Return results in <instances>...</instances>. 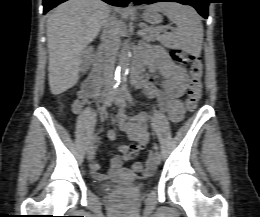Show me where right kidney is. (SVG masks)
I'll return each instance as SVG.
<instances>
[{
    "label": "right kidney",
    "instance_id": "obj_1",
    "mask_svg": "<svg viewBox=\"0 0 260 217\" xmlns=\"http://www.w3.org/2000/svg\"><path fill=\"white\" fill-rule=\"evenodd\" d=\"M93 48L92 47H88L84 52H83V56H82V59H81V71L83 73H85L90 65L92 64V57H93Z\"/></svg>",
    "mask_w": 260,
    "mask_h": 217
}]
</instances>
